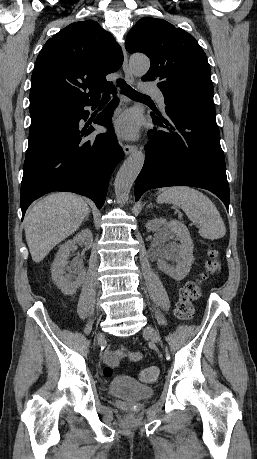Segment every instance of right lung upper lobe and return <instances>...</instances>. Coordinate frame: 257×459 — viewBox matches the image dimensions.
Segmentation results:
<instances>
[{"instance_id":"1","label":"right lung upper lobe","mask_w":257,"mask_h":459,"mask_svg":"<svg viewBox=\"0 0 257 459\" xmlns=\"http://www.w3.org/2000/svg\"><path fill=\"white\" fill-rule=\"evenodd\" d=\"M123 54L113 36L96 21L75 22L49 39L31 78L30 113L100 98Z\"/></svg>"}]
</instances>
